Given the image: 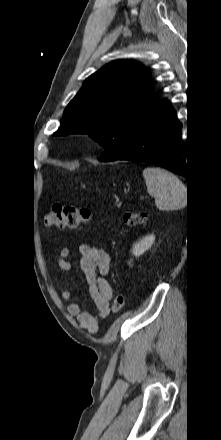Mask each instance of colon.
<instances>
[{"label": "colon", "instance_id": "colon-1", "mask_svg": "<svg viewBox=\"0 0 221 440\" xmlns=\"http://www.w3.org/2000/svg\"><path fill=\"white\" fill-rule=\"evenodd\" d=\"M146 213L141 211L126 212L121 215L120 223L124 227H134L140 225L146 220ZM92 214L90 210L78 208L73 205L55 204L51 206L45 216V224L48 227L60 229L76 228L80 224L90 222ZM125 305V297L122 294L115 296L112 303V312H120Z\"/></svg>", "mask_w": 221, "mask_h": 440}]
</instances>
